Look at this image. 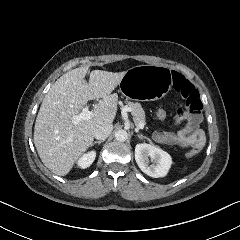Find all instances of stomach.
Returning a JSON list of instances; mask_svg holds the SVG:
<instances>
[{"label":"stomach","mask_w":240,"mask_h":240,"mask_svg":"<svg viewBox=\"0 0 240 240\" xmlns=\"http://www.w3.org/2000/svg\"><path fill=\"white\" fill-rule=\"evenodd\" d=\"M171 88L170 72L165 67L135 66L127 70L119 83L120 93L129 100L154 101Z\"/></svg>","instance_id":"stomach-1"}]
</instances>
